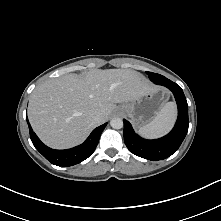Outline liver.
Here are the masks:
<instances>
[{"instance_id": "6515ba94", "label": "liver", "mask_w": 221, "mask_h": 221, "mask_svg": "<svg viewBox=\"0 0 221 221\" xmlns=\"http://www.w3.org/2000/svg\"><path fill=\"white\" fill-rule=\"evenodd\" d=\"M156 88L130 69H94L82 75L49 79L31 94L28 118L38 137L55 149L82 143L108 120L116 103H125ZM101 114V121L94 116Z\"/></svg>"}]
</instances>
